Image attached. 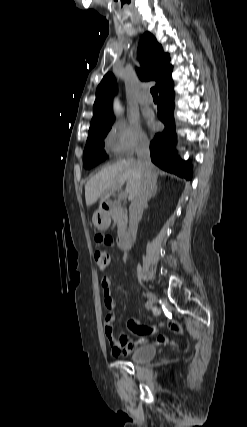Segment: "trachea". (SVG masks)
I'll use <instances>...</instances> for the list:
<instances>
[{"label":"trachea","mask_w":247,"mask_h":427,"mask_svg":"<svg viewBox=\"0 0 247 427\" xmlns=\"http://www.w3.org/2000/svg\"><path fill=\"white\" fill-rule=\"evenodd\" d=\"M151 94L153 98H158V92L156 87L151 88Z\"/></svg>","instance_id":"3493384b"}]
</instances>
